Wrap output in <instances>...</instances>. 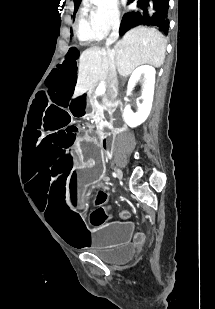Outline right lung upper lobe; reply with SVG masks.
Returning a JSON list of instances; mask_svg holds the SVG:
<instances>
[{
	"label": "right lung upper lobe",
	"instance_id": "1",
	"mask_svg": "<svg viewBox=\"0 0 215 309\" xmlns=\"http://www.w3.org/2000/svg\"><path fill=\"white\" fill-rule=\"evenodd\" d=\"M74 2H75V3H77V2H78V0H74Z\"/></svg>",
	"mask_w": 215,
	"mask_h": 309
}]
</instances>
